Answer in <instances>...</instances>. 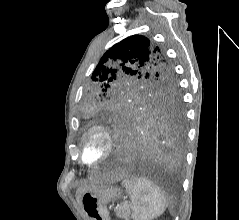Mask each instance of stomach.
Segmentation results:
<instances>
[{"label": "stomach", "instance_id": "1", "mask_svg": "<svg viewBox=\"0 0 239 220\" xmlns=\"http://www.w3.org/2000/svg\"><path fill=\"white\" fill-rule=\"evenodd\" d=\"M120 196L121 190L115 186L91 189L81 195L80 207L87 220H118L120 212H113L117 205L106 204Z\"/></svg>", "mask_w": 239, "mask_h": 220}]
</instances>
